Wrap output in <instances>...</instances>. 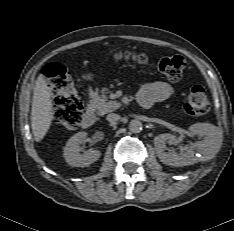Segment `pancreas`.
I'll return each mask as SVG.
<instances>
[{
    "instance_id": "pancreas-1",
    "label": "pancreas",
    "mask_w": 234,
    "mask_h": 231,
    "mask_svg": "<svg viewBox=\"0 0 234 231\" xmlns=\"http://www.w3.org/2000/svg\"><path fill=\"white\" fill-rule=\"evenodd\" d=\"M107 88H102L101 95L98 94V90L91 93L90 106L94 109L98 115H104L108 112L114 111L120 107V103L113 100H108L105 95Z\"/></svg>"
}]
</instances>
